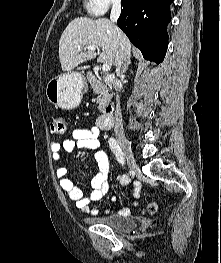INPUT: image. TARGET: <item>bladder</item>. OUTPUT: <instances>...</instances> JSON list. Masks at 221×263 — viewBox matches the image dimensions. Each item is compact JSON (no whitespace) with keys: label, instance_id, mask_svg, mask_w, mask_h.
<instances>
[{"label":"bladder","instance_id":"bladder-1","mask_svg":"<svg viewBox=\"0 0 221 263\" xmlns=\"http://www.w3.org/2000/svg\"><path fill=\"white\" fill-rule=\"evenodd\" d=\"M88 220L95 225L105 226L117 231H131L137 226L134 218L121 215L90 217Z\"/></svg>","mask_w":221,"mask_h":263}]
</instances>
